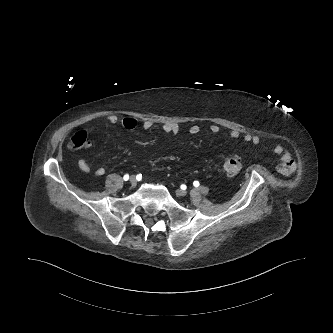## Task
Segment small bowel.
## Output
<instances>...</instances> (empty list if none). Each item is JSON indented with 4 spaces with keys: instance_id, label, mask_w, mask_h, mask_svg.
Here are the masks:
<instances>
[{
    "instance_id": "1",
    "label": "small bowel",
    "mask_w": 333,
    "mask_h": 333,
    "mask_svg": "<svg viewBox=\"0 0 333 333\" xmlns=\"http://www.w3.org/2000/svg\"><path fill=\"white\" fill-rule=\"evenodd\" d=\"M119 121L118 117L115 115H110L106 118L105 123L107 125L117 124ZM122 126L127 130H133L137 127L138 121L133 117H126L121 121ZM144 130H150L153 127V123L149 120H145L141 124ZM162 129L165 133L176 135L180 131V126L177 123L168 122L162 126ZM201 130L199 124H193L189 128V133L191 135H197ZM210 131L214 134L220 132V127L218 125H212L210 127ZM230 137L232 139H238L241 137V133L238 130H232L230 132ZM243 140L247 143H251L253 145H259L261 139L259 136L252 134L243 135ZM272 152L279 158L281 164V171L284 174L293 173L296 170V162L292 157L291 153L282 145L276 144L272 147ZM78 166L80 170L84 173H90L92 171L90 164L87 162L85 158H80L78 161ZM106 173V170L103 166H99L95 169L94 174L97 177H102Z\"/></svg>"
}]
</instances>
